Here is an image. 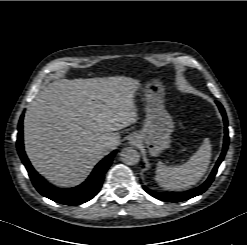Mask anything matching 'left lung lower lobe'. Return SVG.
<instances>
[{
	"instance_id": "0a47b994",
	"label": "left lung lower lobe",
	"mask_w": 247,
	"mask_h": 245,
	"mask_svg": "<svg viewBox=\"0 0 247 245\" xmlns=\"http://www.w3.org/2000/svg\"><path fill=\"white\" fill-rule=\"evenodd\" d=\"M216 104L218 105L220 112H221L223 119H224L225 137H224L223 151H222L212 173L210 174L209 178L201 186H199L198 188H196L194 190L184 192V193H176V194H173V193H156V192H153V191L147 189L145 186H143L144 190L148 194H150L151 196H153L159 200L166 201V202H181V201L193 198L197 195H200L207 190V188L210 186V184L212 183V181H213V179L217 173V169H218L220 163L224 159V156H225V153L227 151L228 144H229L227 116H226V113L224 111L223 106L219 102H216Z\"/></svg>"
}]
</instances>
